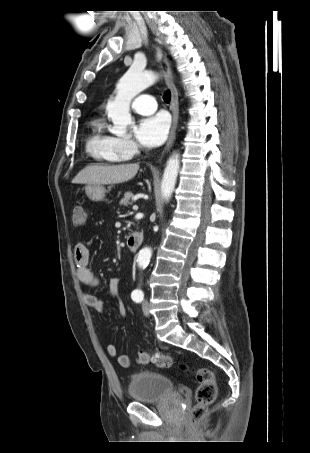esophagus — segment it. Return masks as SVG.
Segmentation results:
<instances>
[{
  "mask_svg": "<svg viewBox=\"0 0 310 453\" xmlns=\"http://www.w3.org/2000/svg\"><path fill=\"white\" fill-rule=\"evenodd\" d=\"M160 63L166 74V84L171 91V111H172V115H173L172 128L170 131L168 141L164 148V152H166L171 148V146L173 145L174 140H175L176 128L178 125V118H179V103H178V92H177V89L174 85V82H173L172 76H171L170 64L166 57H162L160 60Z\"/></svg>",
  "mask_w": 310,
  "mask_h": 453,
  "instance_id": "obj_1",
  "label": "esophagus"
}]
</instances>
